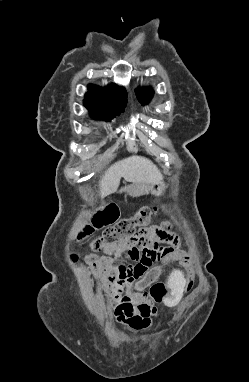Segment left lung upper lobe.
Returning <instances> with one entry per match:
<instances>
[{"label": "left lung upper lobe", "mask_w": 249, "mask_h": 382, "mask_svg": "<svg viewBox=\"0 0 249 382\" xmlns=\"http://www.w3.org/2000/svg\"><path fill=\"white\" fill-rule=\"evenodd\" d=\"M136 95H137V98L138 100L144 104V103H147L150 98L152 97L153 95V91L151 90H142V89H137L136 90Z\"/></svg>", "instance_id": "obj_1"}]
</instances>
